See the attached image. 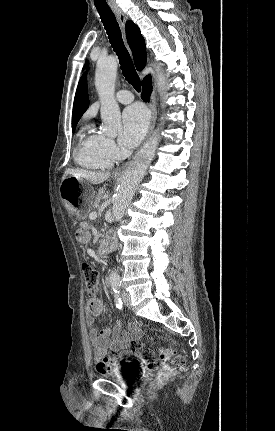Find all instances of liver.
Segmentation results:
<instances>
[{"mask_svg":"<svg viewBox=\"0 0 275 431\" xmlns=\"http://www.w3.org/2000/svg\"><path fill=\"white\" fill-rule=\"evenodd\" d=\"M68 175L74 176L80 179H86L92 184L103 183L105 180H107L110 177L109 172H93V171L81 170V169H67L64 172L62 180L68 177Z\"/></svg>","mask_w":275,"mask_h":431,"instance_id":"obj_1","label":"liver"}]
</instances>
